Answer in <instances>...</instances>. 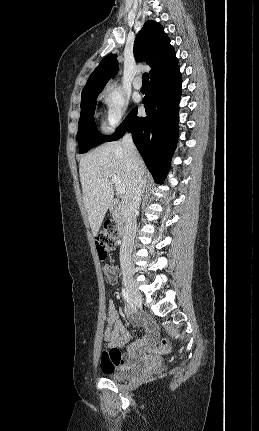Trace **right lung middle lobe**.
<instances>
[{"mask_svg":"<svg viewBox=\"0 0 259 431\" xmlns=\"http://www.w3.org/2000/svg\"><path fill=\"white\" fill-rule=\"evenodd\" d=\"M99 93L100 92H93L81 97V114L77 133L80 154L104 143L108 138V136L102 135L97 130L95 124V105Z\"/></svg>","mask_w":259,"mask_h":431,"instance_id":"obj_1","label":"right lung middle lobe"}]
</instances>
